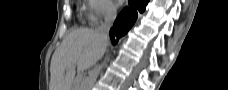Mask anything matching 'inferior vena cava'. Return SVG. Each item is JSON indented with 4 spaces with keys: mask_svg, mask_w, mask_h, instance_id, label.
I'll list each match as a JSON object with an SVG mask.
<instances>
[{
    "mask_svg": "<svg viewBox=\"0 0 228 90\" xmlns=\"http://www.w3.org/2000/svg\"><path fill=\"white\" fill-rule=\"evenodd\" d=\"M115 18L116 8L112 5H108L104 15V22L96 30L102 39L108 40V33Z\"/></svg>",
    "mask_w": 228,
    "mask_h": 90,
    "instance_id": "inferior-vena-cava-1",
    "label": "inferior vena cava"
}]
</instances>
